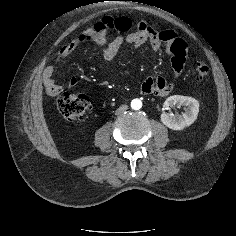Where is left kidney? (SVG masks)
Wrapping results in <instances>:
<instances>
[{
	"label": "left kidney",
	"mask_w": 236,
	"mask_h": 236,
	"mask_svg": "<svg viewBox=\"0 0 236 236\" xmlns=\"http://www.w3.org/2000/svg\"><path fill=\"white\" fill-rule=\"evenodd\" d=\"M183 105L185 113L173 115L166 112L161 114L162 123L172 130H183L192 125L197 119L199 112V103L196 99L187 96L173 95L166 99L164 107Z\"/></svg>",
	"instance_id": "1"
}]
</instances>
